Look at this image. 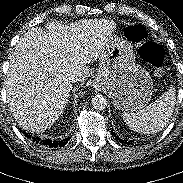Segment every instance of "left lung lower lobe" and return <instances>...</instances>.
Returning a JSON list of instances; mask_svg holds the SVG:
<instances>
[{"label":"left lung lower lobe","mask_w":183,"mask_h":183,"mask_svg":"<svg viewBox=\"0 0 183 183\" xmlns=\"http://www.w3.org/2000/svg\"><path fill=\"white\" fill-rule=\"evenodd\" d=\"M112 134L114 135V137H116L117 140H119L120 142H124L122 139H120L118 136L115 135V133L112 131ZM126 142V141H125ZM127 143V142H126ZM127 144H132V142H128Z\"/></svg>","instance_id":"0a47b994"}]
</instances>
